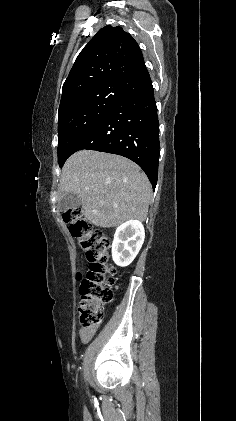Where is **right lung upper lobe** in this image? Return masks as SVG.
<instances>
[{
  "label": "right lung upper lobe",
  "mask_w": 236,
  "mask_h": 421,
  "mask_svg": "<svg viewBox=\"0 0 236 421\" xmlns=\"http://www.w3.org/2000/svg\"><path fill=\"white\" fill-rule=\"evenodd\" d=\"M145 67L137 42L121 27L100 29L78 55L62 88L61 102L89 90L119 86Z\"/></svg>",
  "instance_id": "1"
}]
</instances>
